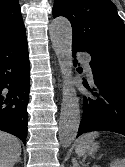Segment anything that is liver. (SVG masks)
Wrapping results in <instances>:
<instances>
[{"mask_svg":"<svg viewBox=\"0 0 125 167\" xmlns=\"http://www.w3.org/2000/svg\"><path fill=\"white\" fill-rule=\"evenodd\" d=\"M21 154L18 138L0 131V167H13Z\"/></svg>","mask_w":125,"mask_h":167,"instance_id":"6515ba94","label":"liver"}]
</instances>
